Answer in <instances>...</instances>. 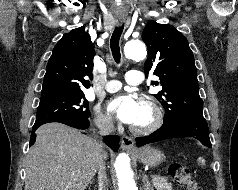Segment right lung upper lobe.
Segmentation results:
<instances>
[{"label":"right lung upper lobe","mask_w":238,"mask_h":190,"mask_svg":"<svg viewBox=\"0 0 238 190\" xmlns=\"http://www.w3.org/2000/svg\"><path fill=\"white\" fill-rule=\"evenodd\" d=\"M95 55L90 35L84 27L73 29L59 40L46 67L41 97L83 93L90 87Z\"/></svg>","instance_id":"1"}]
</instances>
